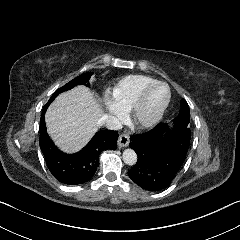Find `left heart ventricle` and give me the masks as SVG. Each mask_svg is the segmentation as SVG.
<instances>
[{"label": "left heart ventricle", "mask_w": 240, "mask_h": 240, "mask_svg": "<svg viewBox=\"0 0 240 240\" xmlns=\"http://www.w3.org/2000/svg\"><path fill=\"white\" fill-rule=\"evenodd\" d=\"M165 93L166 91L164 87L162 86L156 87L148 98L147 111L155 110L164 99Z\"/></svg>", "instance_id": "obj_1"}]
</instances>
